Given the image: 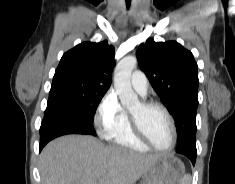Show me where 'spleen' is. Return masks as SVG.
Listing matches in <instances>:
<instances>
[{"mask_svg": "<svg viewBox=\"0 0 235 184\" xmlns=\"http://www.w3.org/2000/svg\"><path fill=\"white\" fill-rule=\"evenodd\" d=\"M182 184H191L190 176H184V178L182 180Z\"/></svg>", "mask_w": 235, "mask_h": 184, "instance_id": "spleen-1", "label": "spleen"}]
</instances>
